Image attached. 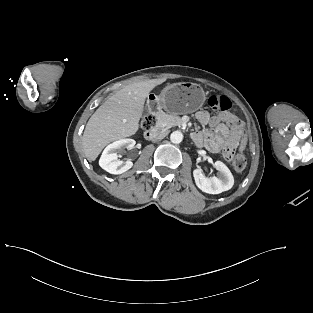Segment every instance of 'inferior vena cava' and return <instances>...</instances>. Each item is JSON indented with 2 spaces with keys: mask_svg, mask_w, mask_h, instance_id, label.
<instances>
[{
  "mask_svg": "<svg viewBox=\"0 0 313 313\" xmlns=\"http://www.w3.org/2000/svg\"><path fill=\"white\" fill-rule=\"evenodd\" d=\"M168 134V131L163 129L160 131H154L152 134L153 140L163 139Z\"/></svg>",
  "mask_w": 313,
  "mask_h": 313,
  "instance_id": "602c4592",
  "label": "inferior vena cava"
}]
</instances>
